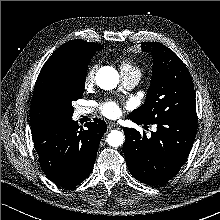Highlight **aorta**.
I'll use <instances>...</instances> for the list:
<instances>
[{
    "instance_id": "1",
    "label": "aorta",
    "mask_w": 220,
    "mask_h": 220,
    "mask_svg": "<svg viewBox=\"0 0 220 220\" xmlns=\"http://www.w3.org/2000/svg\"><path fill=\"white\" fill-rule=\"evenodd\" d=\"M119 73L110 66L102 67L96 73V83L104 90L114 89L119 83ZM124 134L118 130H111L107 137V143L112 147H119L124 143Z\"/></svg>"
}]
</instances>
